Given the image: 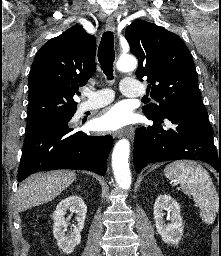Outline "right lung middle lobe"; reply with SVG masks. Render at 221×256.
<instances>
[{"label":"right lung middle lobe","mask_w":221,"mask_h":256,"mask_svg":"<svg viewBox=\"0 0 221 256\" xmlns=\"http://www.w3.org/2000/svg\"><path fill=\"white\" fill-rule=\"evenodd\" d=\"M74 113L75 111L70 110H52L42 113H34L28 115L26 129L27 131H30L47 122L72 117Z\"/></svg>","instance_id":"dd1d6c3e"}]
</instances>
